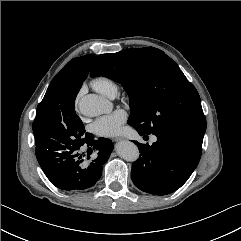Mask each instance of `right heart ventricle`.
Wrapping results in <instances>:
<instances>
[{
    "label": "right heart ventricle",
    "instance_id": "right-heart-ventricle-1",
    "mask_svg": "<svg viewBox=\"0 0 241 241\" xmlns=\"http://www.w3.org/2000/svg\"><path fill=\"white\" fill-rule=\"evenodd\" d=\"M92 87L99 93L111 97L117 92L116 83L109 77L106 76H97L91 81Z\"/></svg>",
    "mask_w": 241,
    "mask_h": 241
}]
</instances>
